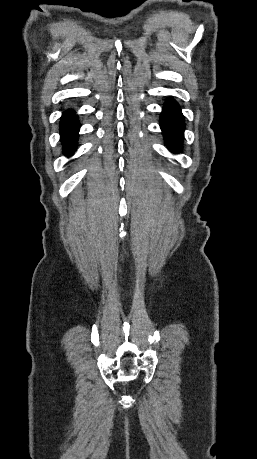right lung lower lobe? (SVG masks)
I'll return each mask as SVG.
<instances>
[{
    "label": "right lung lower lobe",
    "mask_w": 257,
    "mask_h": 459,
    "mask_svg": "<svg viewBox=\"0 0 257 459\" xmlns=\"http://www.w3.org/2000/svg\"><path fill=\"white\" fill-rule=\"evenodd\" d=\"M78 131L79 123L74 112H65L60 124L61 141L65 154L70 155L73 153L77 144L76 139L78 138Z\"/></svg>",
    "instance_id": "right-lung-lower-lobe-1"
}]
</instances>
